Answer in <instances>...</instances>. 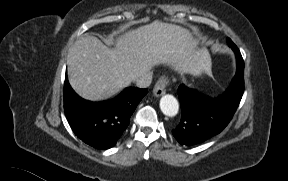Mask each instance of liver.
<instances>
[{
  "instance_id": "obj_1",
  "label": "liver",
  "mask_w": 288,
  "mask_h": 181,
  "mask_svg": "<svg viewBox=\"0 0 288 181\" xmlns=\"http://www.w3.org/2000/svg\"><path fill=\"white\" fill-rule=\"evenodd\" d=\"M196 46L197 40L189 30L158 20L117 36L114 48L86 35L69 50V82L82 98L100 101L119 93L159 64L199 74Z\"/></svg>"
}]
</instances>
